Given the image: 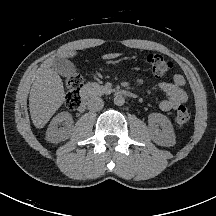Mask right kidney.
Here are the masks:
<instances>
[{
    "mask_svg": "<svg viewBox=\"0 0 216 216\" xmlns=\"http://www.w3.org/2000/svg\"><path fill=\"white\" fill-rule=\"evenodd\" d=\"M63 122L64 127L58 128V124ZM73 119L69 112L57 114L49 124L46 132V140L51 143H59L67 140L72 131Z\"/></svg>",
    "mask_w": 216,
    "mask_h": 216,
    "instance_id": "ca27d5eb",
    "label": "right kidney"
}]
</instances>
